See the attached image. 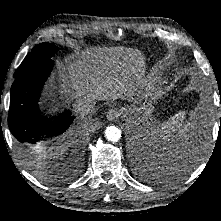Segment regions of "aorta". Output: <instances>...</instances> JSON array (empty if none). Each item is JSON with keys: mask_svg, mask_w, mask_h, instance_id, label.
<instances>
[{"mask_svg": "<svg viewBox=\"0 0 221 221\" xmlns=\"http://www.w3.org/2000/svg\"><path fill=\"white\" fill-rule=\"evenodd\" d=\"M105 137L111 142H117L121 138V130L116 126H108L105 130ZM146 137H148L146 133H141V138H143V140ZM141 145L144 146V142L142 141V139Z\"/></svg>", "mask_w": 221, "mask_h": 221, "instance_id": "762f6f07", "label": "aorta"}]
</instances>
